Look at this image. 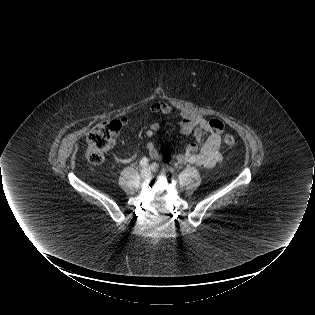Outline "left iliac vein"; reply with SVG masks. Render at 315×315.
<instances>
[{"label":"left iliac vein","instance_id":"4c4485c4","mask_svg":"<svg viewBox=\"0 0 315 315\" xmlns=\"http://www.w3.org/2000/svg\"><path fill=\"white\" fill-rule=\"evenodd\" d=\"M151 168H152L153 171H155L157 167H155L154 164H153ZM160 174L162 176H166V172L165 171H161Z\"/></svg>","mask_w":315,"mask_h":315}]
</instances>
